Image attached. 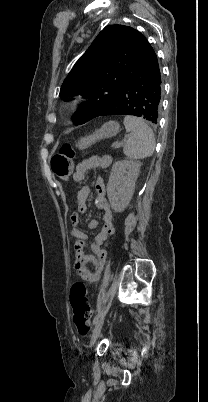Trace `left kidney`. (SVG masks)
<instances>
[{
  "label": "left kidney",
  "instance_id": "obj_1",
  "mask_svg": "<svg viewBox=\"0 0 208 402\" xmlns=\"http://www.w3.org/2000/svg\"><path fill=\"white\" fill-rule=\"evenodd\" d=\"M141 166L136 160H121L112 166L106 190L114 212H123L129 206Z\"/></svg>",
  "mask_w": 208,
  "mask_h": 402
}]
</instances>
